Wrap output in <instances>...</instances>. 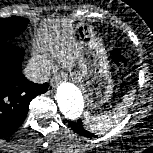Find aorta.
<instances>
[{"mask_svg":"<svg viewBox=\"0 0 153 153\" xmlns=\"http://www.w3.org/2000/svg\"><path fill=\"white\" fill-rule=\"evenodd\" d=\"M56 100L61 113L71 120L80 117L84 100L79 89L69 82L61 83L57 88Z\"/></svg>","mask_w":153,"mask_h":153,"instance_id":"aorta-1","label":"aorta"}]
</instances>
